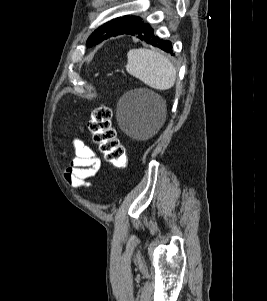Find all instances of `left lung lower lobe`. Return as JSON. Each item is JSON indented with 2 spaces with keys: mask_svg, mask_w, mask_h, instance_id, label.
I'll return each instance as SVG.
<instances>
[{
  "mask_svg": "<svg viewBox=\"0 0 267 301\" xmlns=\"http://www.w3.org/2000/svg\"><path fill=\"white\" fill-rule=\"evenodd\" d=\"M124 34L136 36L140 40H143L153 46L159 47L162 50L172 54V45L170 41L159 39V37H155L153 33V29L149 27L148 24L140 23L138 26L130 29L129 31L125 32ZM121 35V34H118ZM117 35H113L114 37ZM108 39V38H107Z\"/></svg>",
  "mask_w": 267,
  "mask_h": 301,
  "instance_id": "1",
  "label": "left lung lower lobe"
}]
</instances>
